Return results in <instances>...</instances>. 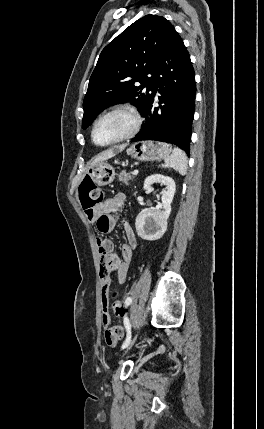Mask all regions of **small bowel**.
<instances>
[{"instance_id":"obj_1","label":"small bowel","mask_w":264,"mask_h":429,"mask_svg":"<svg viewBox=\"0 0 264 429\" xmlns=\"http://www.w3.org/2000/svg\"><path fill=\"white\" fill-rule=\"evenodd\" d=\"M125 196L122 193L108 198L95 207L92 213H86L90 223H95L100 232H110L117 224L116 212L122 206ZM126 242L121 245V258L113 252V243L106 239H97V248L100 257L99 275L101 282L102 325L107 345L114 347L124 336L120 325H111L109 313V286L111 274L114 272L120 284L126 280L127 271L132 261L133 252L138 246L137 236L128 222H123ZM120 332L121 334H119Z\"/></svg>"}]
</instances>
